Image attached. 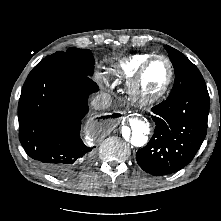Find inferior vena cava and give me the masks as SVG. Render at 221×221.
Returning <instances> with one entry per match:
<instances>
[{
    "instance_id": "inferior-vena-cava-1",
    "label": "inferior vena cava",
    "mask_w": 221,
    "mask_h": 221,
    "mask_svg": "<svg viewBox=\"0 0 221 221\" xmlns=\"http://www.w3.org/2000/svg\"><path fill=\"white\" fill-rule=\"evenodd\" d=\"M112 97L110 94L101 93L98 94L92 101L91 105L96 110L107 109L111 106Z\"/></svg>"
}]
</instances>
